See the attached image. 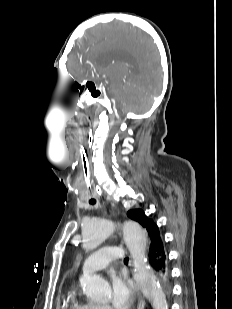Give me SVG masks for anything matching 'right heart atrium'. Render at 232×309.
I'll use <instances>...</instances> for the list:
<instances>
[{"mask_svg": "<svg viewBox=\"0 0 232 309\" xmlns=\"http://www.w3.org/2000/svg\"><path fill=\"white\" fill-rule=\"evenodd\" d=\"M100 309H109L107 306H100Z\"/></svg>", "mask_w": 232, "mask_h": 309, "instance_id": "obj_1", "label": "right heart atrium"}]
</instances>
